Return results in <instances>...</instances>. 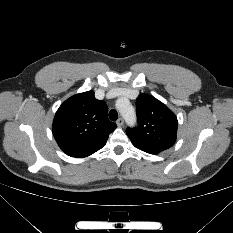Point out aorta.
Masks as SVG:
<instances>
[{"mask_svg": "<svg viewBox=\"0 0 233 233\" xmlns=\"http://www.w3.org/2000/svg\"><path fill=\"white\" fill-rule=\"evenodd\" d=\"M117 107L126 123L129 126H133L136 122V114L132 106H130L127 102H124L123 104L118 103Z\"/></svg>", "mask_w": 233, "mask_h": 233, "instance_id": "aorta-1", "label": "aorta"}]
</instances>
